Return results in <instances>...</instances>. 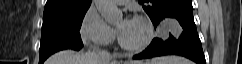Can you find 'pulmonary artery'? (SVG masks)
<instances>
[{
	"label": "pulmonary artery",
	"mask_w": 242,
	"mask_h": 64,
	"mask_svg": "<svg viewBox=\"0 0 242 64\" xmlns=\"http://www.w3.org/2000/svg\"><path fill=\"white\" fill-rule=\"evenodd\" d=\"M115 2L120 4V5H123L125 3H128L129 1L128 0H115Z\"/></svg>",
	"instance_id": "1"
}]
</instances>
